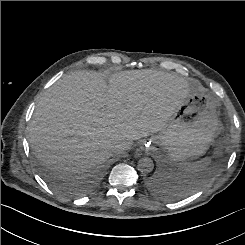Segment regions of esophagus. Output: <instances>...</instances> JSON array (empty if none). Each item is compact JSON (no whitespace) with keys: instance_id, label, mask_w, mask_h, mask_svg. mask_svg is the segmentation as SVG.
I'll return each instance as SVG.
<instances>
[{"instance_id":"esophagus-1","label":"esophagus","mask_w":245,"mask_h":245,"mask_svg":"<svg viewBox=\"0 0 245 245\" xmlns=\"http://www.w3.org/2000/svg\"><path fill=\"white\" fill-rule=\"evenodd\" d=\"M150 148H151L150 144L148 142H145L140 146L139 151L148 152L150 150Z\"/></svg>"}]
</instances>
